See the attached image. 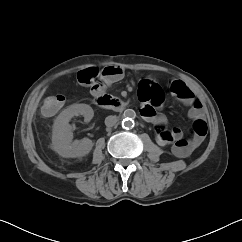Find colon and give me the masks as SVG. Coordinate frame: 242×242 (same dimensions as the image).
Listing matches in <instances>:
<instances>
[{
  "instance_id": "colon-1",
  "label": "colon",
  "mask_w": 242,
  "mask_h": 242,
  "mask_svg": "<svg viewBox=\"0 0 242 242\" xmlns=\"http://www.w3.org/2000/svg\"><path fill=\"white\" fill-rule=\"evenodd\" d=\"M79 80L83 84L95 87L101 83L104 78L97 69L89 68L80 72ZM172 89L179 97L185 94V90L180 83H174L172 85ZM139 93L144 99L150 100L154 105H160L164 97L162 88L157 83L148 79H143L140 82ZM64 100V96L60 94L47 96L42 106L43 113L45 115L55 114L62 107ZM192 128L201 135H205L207 133L206 126L201 123L194 124Z\"/></svg>"
}]
</instances>
